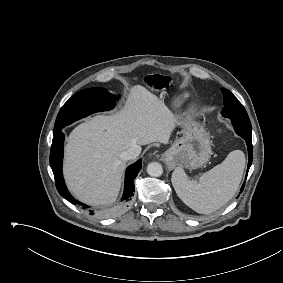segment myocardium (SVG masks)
Masks as SVG:
<instances>
[{"instance_id":"f54148a6","label":"myocardium","mask_w":283,"mask_h":283,"mask_svg":"<svg viewBox=\"0 0 283 283\" xmlns=\"http://www.w3.org/2000/svg\"><path fill=\"white\" fill-rule=\"evenodd\" d=\"M191 111H192V112H196V107H194V106L191 107Z\"/></svg>"}]
</instances>
